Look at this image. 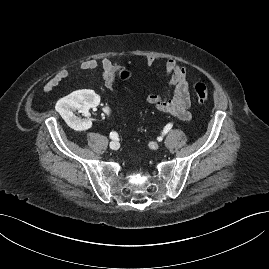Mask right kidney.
Returning <instances> with one entry per match:
<instances>
[{
  "label": "right kidney",
  "mask_w": 269,
  "mask_h": 269,
  "mask_svg": "<svg viewBox=\"0 0 269 269\" xmlns=\"http://www.w3.org/2000/svg\"><path fill=\"white\" fill-rule=\"evenodd\" d=\"M100 97L93 90H77L60 99L56 103V110L65 120V122L74 129H88L92 122L90 119H81L74 115L73 111L79 110L87 114L88 109L99 104ZM99 109L105 111L101 118L94 121L95 127H103L111 121L114 113V107L110 101L101 102Z\"/></svg>",
  "instance_id": "1"
}]
</instances>
